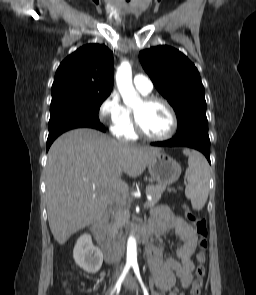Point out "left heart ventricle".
Returning <instances> with one entry per match:
<instances>
[{"label":"left heart ventricle","mask_w":256,"mask_h":295,"mask_svg":"<svg viewBox=\"0 0 256 295\" xmlns=\"http://www.w3.org/2000/svg\"><path fill=\"white\" fill-rule=\"evenodd\" d=\"M142 128L150 135L162 136L171 127L168 110L160 103L145 104L140 100L133 108Z\"/></svg>","instance_id":"left-heart-ventricle-1"}]
</instances>
